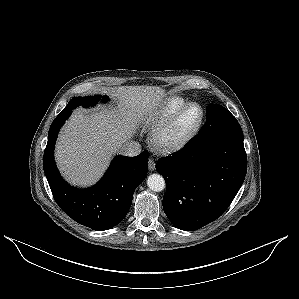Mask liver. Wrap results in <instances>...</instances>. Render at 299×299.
Segmentation results:
<instances>
[{
	"mask_svg": "<svg viewBox=\"0 0 299 299\" xmlns=\"http://www.w3.org/2000/svg\"><path fill=\"white\" fill-rule=\"evenodd\" d=\"M115 96L120 102L117 111H76L60 132L55 158L72 185L97 182L137 126L156 113L166 92L157 86H122Z\"/></svg>",
	"mask_w": 299,
	"mask_h": 299,
	"instance_id": "6515ba94",
	"label": "liver"
}]
</instances>
